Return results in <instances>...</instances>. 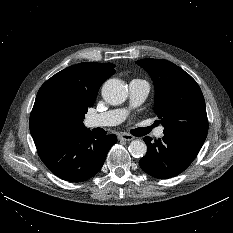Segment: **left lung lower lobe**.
Wrapping results in <instances>:
<instances>
[{"instance_id": "0a47b994", "label": "left lung lower lobe", "mask_w": 233, "mask_h": 233, "mask_svg": "<svg viewBox=\"0 0 233 233\" xmlns=\"http://www.w3.org/2000/svg\"><path fill=\"white\" fill-rule=\"evenodd\" d=\"M206 138L188 134H164L152 141L145 137L147 153L140 159L141 168L152 177L167 179L183 172L195 159Z\"/></svg>"}]
</instances>
